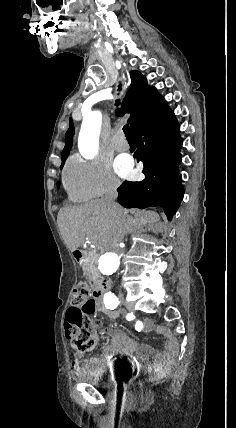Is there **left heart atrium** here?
Masks as SVG:
<instances>
[{"instance_id":"obj_1","label":"left heart atrium","mask_w":236,"mask_h":428,"mask_svg":"<svg viewBox=\"0 0 236 428\" xmlns=\"http://www.w3.org/2000/svg\"><path fill=\"white\" fill-rule=\"evenodd\" d=\"M115 171L122 177H129L132 172V162L128 157H122L115 163Z\"/></svg>"}]
</instances>
